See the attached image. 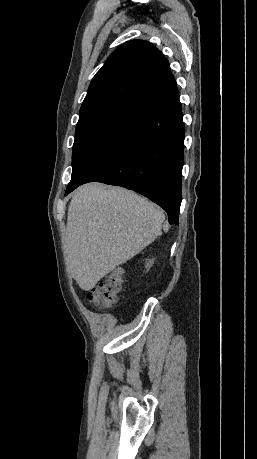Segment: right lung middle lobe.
<instances>
[{
  "mask_svg": "<svg viewBox=\"0 0 257 459\" xmlns=\"http://www.w3.org/2000/svg\"><path fill=\"white\" fill-rule=\"evenodd\" d=\"M135 113V110L125 107H108L81 115L73 145L72 176L102 151L117 130Z\"/></svg>",
  "mask_w": 257,
  "mask_h": 459,
  "instance_id": "dd1d6c3e",
  "label": "right lung middle lobe"
}]
</instances>
